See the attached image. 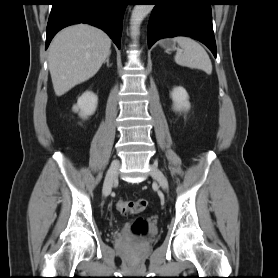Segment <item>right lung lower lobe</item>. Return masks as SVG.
I'll return each instance as SVG.
<instances>
[{"label":"right lung lower lobe","instance_id":"obj_1","mask_svg":"<svg viewBox=\"0 0 278 278\" xmlns=\"http://www.w3.org/2000/svg\"><path fill=\"white\" fill-rule=\"evenodd\" d=\"M127 4L128 0H52L46 29V49L59 30L81 22L104 30L120 49Z\"/></svg>","mask_w":278,"mask_h":278}]
</instances>
